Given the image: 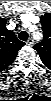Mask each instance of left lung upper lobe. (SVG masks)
<instances>
[{"label": "left lung upper lobe", "mask_w": 51, "mask_h": 101, "mask_svg": "<svg viewBox=\"0 0 51 101\" xmlns=\"http://www.w3.org/2000/svg\"><path fill=\"white\" fill-rule=\"evenodd\" d=\"M40 22L44 38L33 48L38 52L42 62L48 66L51 65V14L46 13L40 18Z\"/></svg>", "instance_id": "obj_1"}]
</instances>
